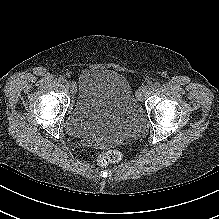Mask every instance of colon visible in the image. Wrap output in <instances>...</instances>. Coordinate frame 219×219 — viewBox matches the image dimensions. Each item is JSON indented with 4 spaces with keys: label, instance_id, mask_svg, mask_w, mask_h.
<instances>
[{
    "label": "colon",
    "instance_id": "colon-1",
    "mask_svg": "<svg viewBox=\"0 0 219 219\" xmlns=\"http://www.w3.org/2000/svg\"><path fill=\"white\" fill-rule=\"evenodd\" d=\"M122 153L118 150H110L103 153L98 160V163L102 167H107L111 164H116L122 160Z\"/></svg>",
    "mask_w": 219,
    "mask_h": 219
}]
</instances>
